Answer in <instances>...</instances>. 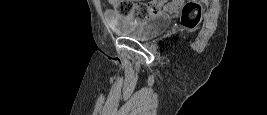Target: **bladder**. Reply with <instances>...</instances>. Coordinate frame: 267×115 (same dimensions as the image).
I'll list each match as a JSON object with an SVG mask.
<instances>
[{"mask_svg": "<svg viewBox=\"0 0 267 115\" xmlns=\"http://www.w3.org/2000/svg\"><path fill=\"white\" fill-rule=\"evenodd\" d=\"M172 23V17L165 13L152 14L137 23L112 25V29L125 37L145 41L157 37Z\"/></svg>", "mask_w": 267, "mask_h": 115, "instance_id": "obj_1", "label": "bladder"}]
</instances>
